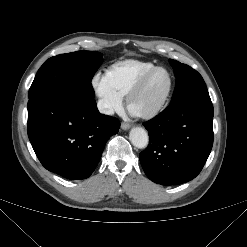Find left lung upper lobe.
<instances>
[{
	"label": "left lung upper lobe",
	"instance_id": "left-lung-upper-lobe-1",
	"mask_svg": "<svg viewBox=\"0 0 247 247\" xmlns=\"http://www.w3.org/2000/svg\"><path fill=\"white\" fill-rule=\"evenodd\" d=\"M169 62L176 77V87L170 104L209 95L202 76L196 70L172 59H169Z\"/></svg>",
	"mask_w": 247,
	"mask_h": 247
}]
</instances>
